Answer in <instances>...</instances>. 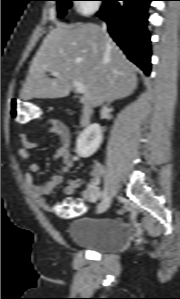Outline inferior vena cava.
<instances>
[{"mask_svg":"<svg viewBox=\"0 0 180 299\" xmlns=\"http://www.w3.org/2000/svg\"><path fill=\"white\" fill-rule=\"evenodd\" d=\"M106 24L105 23H103V30H106Z\"/></svg>","mask_w":180,"mask_h":299,"instance_id":"1","label":"inferior vena cava"}]
</instances>
